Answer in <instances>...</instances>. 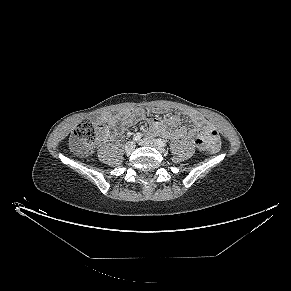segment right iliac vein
Masks as SVG:
<instances>
[{
    "mask_svg": "<svg viewBox=\"0 0 291 291\" xmlns=\"http://www.w3.org/2000/svg\"><path fill=\"white\" fill-rule=\"evenodd\" d=\"M135 149V142L134 141H129L127 142V144L125 145V151L127 153L132 152Z\"/></svg>",
    "mask_w": 291,
    "mask_h": 291,
    "instance_id": "obj_1",
    "label": "right iliac vein"
}]
</instances>
